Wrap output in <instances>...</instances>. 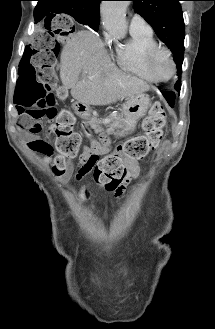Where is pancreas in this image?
Listing matches in <instances>:
<instances>
[{
    "label": "pancreas",
    "mask_w": 215,
    "mask_h": 329,
    "mask_svg": "<svg viewBox=\"0 0 215 329\" xmlns=\"http://www.w3.org/2000/svg\"><path fill=\"white\" fill-rule=\"evenodd\" d=\"M109 120L111 121V123L110 124L105 123V127L101 125V119L95 116L90 117L87 123L95 131L107 132V133L113 132L115 129L121 127L123 123V118L117 114L110 115Z\"/></svg>",
    "instance_id": "obj_1"
}]
</instances>
